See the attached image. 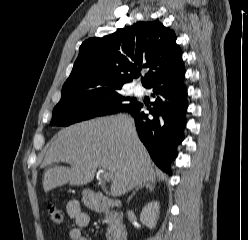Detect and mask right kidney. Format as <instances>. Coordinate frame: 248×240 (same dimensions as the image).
Instances as JSON below:
<instances>
[{
    "mask_svg": "<svg viewBox=\"0 0 248 240\" xmlns=\"http://www.w3.org/2000/svg\"><path fill=\"white\" fill-rule=\"evenodd\" d=\"M160 204L157 201L148 203L140 214V220L149 228H155L157 219L159 217Z\"/></svg>",
    "mask_w": 248,
    "mask_h": 240,
    "instance_id": "obj_1",
    "label": "right kidney"
}]
</instances>
